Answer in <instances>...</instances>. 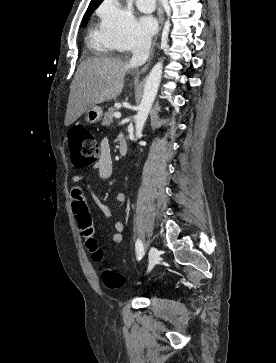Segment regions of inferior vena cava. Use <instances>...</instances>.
Instances as JSON below:
<instances>
[{
  "mask_svg": "<svg viewBox=\"0 0 276 363\" xmlns=\"http://www.w3.org/2000/svg\"><path fill=\"white\" fill-rule=\"evenodd\" d=\"M151 42V36L148 34H143L136 38L132 47L131 66H141L148 60Z\"/></svg>",
  "mask_w": 276,
  "mask_h": 363,
  "instance_id": "inferior-vena-cava-1",
  "label": "inferior vena cava"
}]
</instances>
